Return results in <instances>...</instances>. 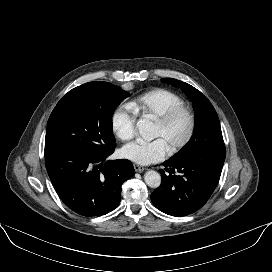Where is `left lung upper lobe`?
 I'll list each match as a JSON object with an SVG mask.
<instances>
[{"label": "left lung upper lobe", "instance_id": "1", "mask_svg": "<svg viewBox=\"0 0 272 272\" xmlns=\"http://www.w3.org/2000/svg\"><path fill=\"white\" fill-rule=\"evenodd\" d=\"M162 81L182 89L192 101L196 118L192 138L171 159L194 157L205 162L223 165L226 149L219 118L210 101L199 90L185 82L172 78H163Z\"/></svg>", "mask_w": 272, "mask_h": 272}]
</instances>
